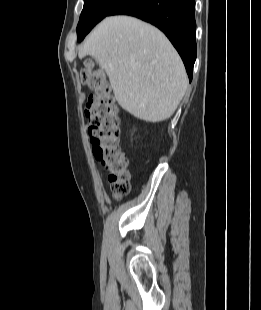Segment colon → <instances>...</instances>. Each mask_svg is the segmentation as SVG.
<instances>
[{
  "label": "colon",
  "instance_id": "colon-1",
  "mask_svg": "<svg viewBox=\"0 0 261 310\" xmlns=\"http://www.w3.org/2000/svg\"><path fill=\"white\" fill-rule=\"evenodd\" d=\"M80 77L93 90L85 105L93 154L105 169L114 197L121 198L130 191L131 171L120 147V118L115 98L105 73L94 69L91 63H87Z\"/></svg>",
  "mask_w": 261,
  "mask_h": 310
}]
</instances>
